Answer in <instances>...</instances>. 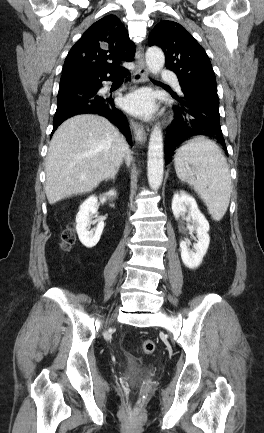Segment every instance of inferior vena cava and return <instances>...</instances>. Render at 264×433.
Instances as JSON below:
<instances>
[{
	"instance_id": "602c4592",
	"label": "inferior vena cava",
	"mask_w": 264,
	"mask_h": 433,
	"mask_svg": "<svg viewBox=\"0 0 264 433\" xmlns=\"http://www.w3.org/2000/svg\"><path fill=\"white\" fill-rule=\"evenodd\" d=\"M129 146L126 143L125 139L122 137L120 140V149L123 152V158L126 156V151L128 150Z\"/></svg>"
}]
</instances>
